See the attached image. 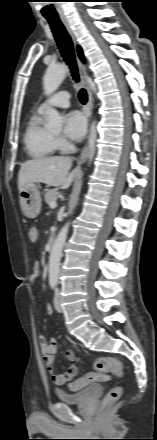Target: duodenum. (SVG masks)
Returning <instances> with one entry per match:
<instances>
[{
	"instance_id": "1",
	"label": "duodenum",
	"mask_w": 157,
	"mask_h": 440,
	"mask_svg": "<svg viewBox=\"0 0 157 440\" xmlns=\"http://www.w3.org/2000/svg\"><path fill=\"white\" fill-rule=\"evenodd\" d=\"M54 244H55V239L50 238L47 243V249L49 252H51L53 250Z\"/></svg>"
}]
</instances>
